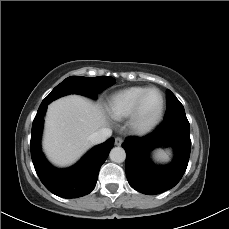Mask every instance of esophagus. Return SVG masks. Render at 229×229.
<instances>
[{
    "instance_id": "esophagus-1",
    "label": "esophagus",
    "mask_w": 229,
    "mask_h": 229,
    "mask_svg": "<svg viewBox=\"0 0 229 229\" xmlns=\"http://www.w3.org/2000/svg\"><path fill=\"white\" fill-rule=\"evenodd\" d=\"M123 143V139L120 137L115 138V145L116 146H121Z\"/></svg>"
}]
</instances>
